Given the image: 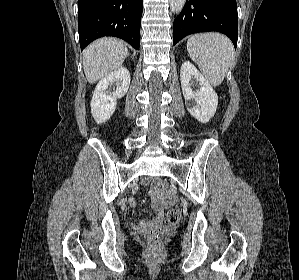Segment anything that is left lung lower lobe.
<instances>
[{
    "instance_id": "0a47b994",
    "label": "left lung lower lobe",
    "mask_w": 299,
    "mask_h": 280,
    "mask_svg": "<svg viewBox=\"0 0 299 280\" xmlns=\"http://www.w3.org/2000/svg\"><path fill=\"white\" fill-rule=\"evenodd\" d=\"M209 31L224 33L237 46L236 0H186L173 24V45L189 34Z\"/></svg>"
}]
</instances>
